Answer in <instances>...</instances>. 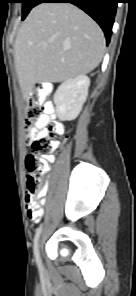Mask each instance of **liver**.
<instances>
[{
  "label": "liver",
  "mask_w": 136,
  "mask_h": 296,
  "mask_svg": "<svg viewBox=\"0 0 136 296\" xmlns=\"http://www.w3.org/2000/svg\"><path fill=\"white\" fill-rule=\"evenodd\" d=\"M105 37L99 25L70 3H41L21 25L14 61L21 92L36 83H58L85 75L102 60Z\"/></svg>",
  "instance_id": "6515ba94"
}]
</instances>
